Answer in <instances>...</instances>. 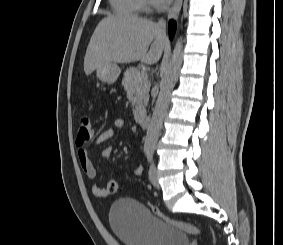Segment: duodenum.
<instances>
[{
	"label": "duodenum",
	"mask_w": 283,
	"mask_h": 245,
	"mask_svg": "<svg viewBox=\"0 0 283 245\" xmlns=\"http://www.w3.org/2000/svg\"><path fill=\"white\" fill-rule=\"evenodd\" d=\"M136 120L138 124L143 128H147L149 126L150 118L147 115L144 114L138 115Z\"/></svg>",
	"instance_id": "obj_1"
}]
</instances>
